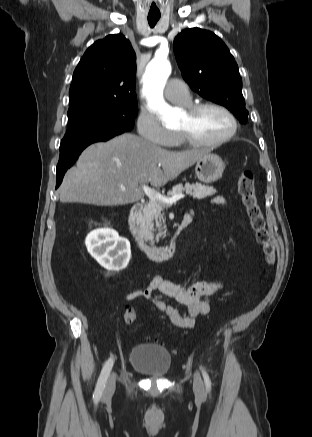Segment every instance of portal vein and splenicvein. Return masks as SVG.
Returning <instances> with one entry per match:
<instances>
[{
	"label": "portal vein and splenic vein",
	"mask_w": 312,
	"mask_h": 437,
	"mask_svg": "<svg viewBox=\"0 0 312 437\" xmlns=\"http://www.w3.org/2000/svg\"><path fill=\"white\" fill-rule=\"evenodd\" d=\"M121 189L125 190V187L122 186ZM142 190L144 191L146 196H148V198L151 201H160V202H163L167 205H172L173 203L177 202L178 200L184 198V196H185L183 194H178V195L172 196L170 198H167V197L161 195L155 189H152L146 185L142 186Z\"/></svg>",
	"instance_id": "obj_1"
}]
</instances>
